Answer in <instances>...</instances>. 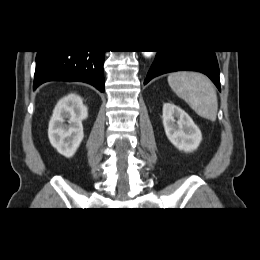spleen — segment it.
<instances>
[{
  "mask_svg": "<svg viewBox=\"0 0 260 260\" xmlns=\"http://www.w3.org/2000/svg\"><path fill=\"white\" fill-rule=\"evenodd\" d=\"M168 83L176 95L185 100L199 116L216 120L217 94L208 77L194 72H175L168 76Z\"/></svg>",
  "mask_w": 260,
  "mask_h": 260,
  "instance_id": "spleen-1",
  "label": "spleen"
}]
</instances>
